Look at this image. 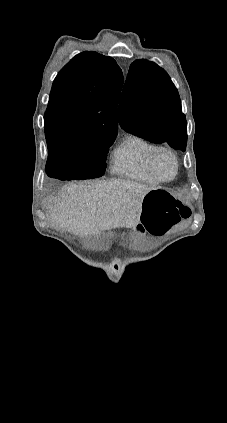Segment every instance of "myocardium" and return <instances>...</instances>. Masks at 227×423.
Returning <instances> with one entry per match:
<instances>
[{
  "label": "myocardium",
  "instance_id": "myocardium-1",
  "mask_svg": "<svg viewBox=\"0 0 227 423\" xmlns=\"http://www.w3.org/2000/svg\"><path fill=\"white\" fill-rule=\"evenodd\" d=\"M159 152H166V153H168L170 156H171V158L173 159V161H174V165H175V171H174V174H173V176L171 177V178H165L161 173H160V171L158 170V168H157V165H156V161H155V159H156V155L159 153ZM148 163H149V166H150V168H151V170L153 171V173L159 178V179H161L162 181H171V180H173L176 176H177V174H178V172H179V158H178V155H177V153L172 149V148H170V147H167V146H155L151 151H150V153H149V157H148Z\"/></svg>",
  "mask_w": 227,
  "mask_h": 423
}]
</instances>
